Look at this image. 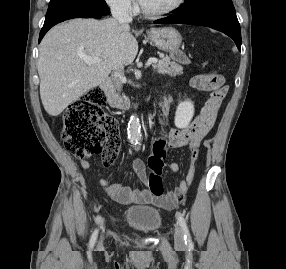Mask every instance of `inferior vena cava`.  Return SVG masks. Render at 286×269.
Returning <instances> with one entry per match:
<instances>
[{
  "mask_svg": "<svg viewBox=\"0 0 286 269\" xmlns=\"http://www.w3.org/2000/svg\"><path fill=\"white\" fill-rule=\"evenodd\" d=\"M112 16L121 24H128L132 21L131 14L129 10L125 7H114L111 10ZM113 82L118 91H121L122 84L125 80L124 67L115 69L112 74Z\"/></svg>",
  "mask_w": 286,
  "mask_h": 269,
  "instance_id": "602c4592",
  "label": "inferior vena cava"
}]
</instances>
